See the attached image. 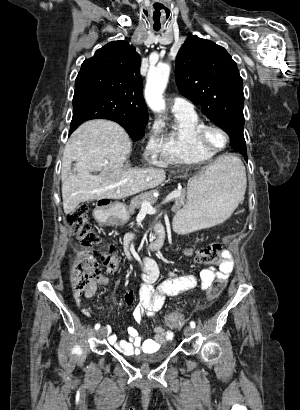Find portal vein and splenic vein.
Segmentation results:
<instances>
[{"instance_id": "obj_1", "label": "portal vein and splenic vein", "mask_w": 300, "mask_h": 410, "mask_svg": "<svg viewBox=\"0 0 300 410\" xmlns=\"http://www.w3.org/2000/svg\"><path fill=\"white\" fill-rule=\"evenodd\" d=\"M180 195H181V192L179 190L173 191L163 200L162 204H166L172 199L179 197ZM142 209L150 214H153L156 212V208H153L151 203L145 199L142 201Z\"/></svg>"}]
</instances>
